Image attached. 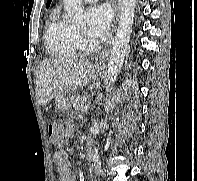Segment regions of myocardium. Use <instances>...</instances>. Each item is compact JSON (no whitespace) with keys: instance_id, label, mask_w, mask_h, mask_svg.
Segmentation results:
<instances>
[{"instance_id":"obj_1","label":"myocardium","mask_w":197,"mask_h":181,"mask_svg":"<svg viewBox=\"0 0 197 181\" xmlns=\"http://www.w3.org/2000/svg\"><path fill=\"white\" fill-rule=\"evenodd\" d=\"M85 48L87 49H92L93 47L91 45L88 44L87 41L84 42Z\"/></svg>"}]
</instances>
